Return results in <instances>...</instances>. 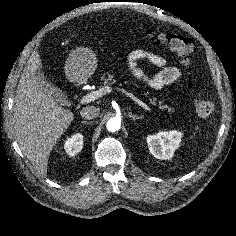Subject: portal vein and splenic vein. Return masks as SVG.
I'll return each mask as SVG.
<instances>
[{
	"instance_id": "portal-vein-and-splenic-vein-1",
	"label": "portal vein and splenic vein",
	"mask_w": 236,
	"mask_h": 236,
	"mask_svg": "<svg viewBox=\"0 0 236 236\" xmlns=\"http://www.w3.org/2000/svg\"><path fill=\"white\" fill-rule=\"evenodd\" d=\"M114 89L121 92V93H123L124 95H126L127 97H129L130 99L135 101L138 105H140L145 110L151 112V108L149 106H147L145 103H143L133 93H131V92H129V91L123 89V88H119V87H114ZM111 90H113V88L111 86H104L102 88H99L98 90L93 91V92L83 96L80 100V104H87L91 101H94V100L98 99L99 97H102V96L106 95L107 93H110Z\"/></svg>"
}]
</instances>
